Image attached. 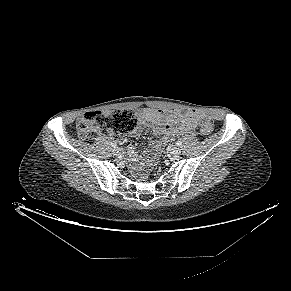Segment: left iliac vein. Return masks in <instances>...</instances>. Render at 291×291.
<instances>
[{"mask_svg":"<svg viewBox=\"0 0 291 291\" xmlns=\"http://www.w3.org/2000/svg\"><path fill=\"white\" fill-rule=\"evenodd\" d=\"M170 152L173 156H178L181 154V149L178 147V146H173L171 149H170Z\"/></svg>","mask_w":291,"mask_h":291,"instance_id":"obj_1","label":"left iliac vein"}]
</instances>
